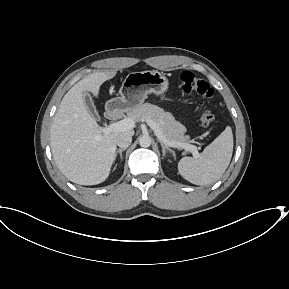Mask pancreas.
Masks as SVG:
<instances>
[{
    "instance_id": "cf45deb5",
    "label": "pancreas",
    "mask_w": 289,
    "mask_h": 289,
    "mask_svg": "<svg viewBox=\"0 0 289 289\" xmlns=\"http://www.w3.org/2000/svg\"><path fill=\"white\" fill-rule=\"evenodd\" d=\"M128 117L134 121L152 120L156 122L164 137L169 142L187 143L188 136H185L186 128L176 121L173 115L165 112L162 108L150 103L141 104L128 112Z\"/></svg>"
}]
</instances>
